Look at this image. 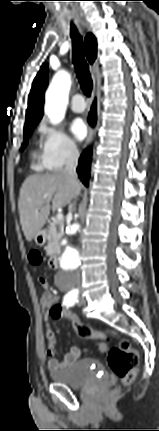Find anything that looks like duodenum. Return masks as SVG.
I'll return each mask as SVG.
<instances>
[{"label":"duodenum","instance_id":"duodenum-1","mask_svg":"<svg viewBox=\"0 0 159 431\" xmlns=\"http://www.w3.org/2000/svg\"><path fill=\"white\" fill-rule=\"evenodd\" d=\"M40 237L44 238L45 232H41ZM49 265L52 269H57L59 267V256L57 254H54L51 256L50 261H49Z\"/></svg>","mask_w":159,"mask_h":431}]
</instances>
